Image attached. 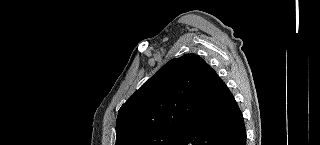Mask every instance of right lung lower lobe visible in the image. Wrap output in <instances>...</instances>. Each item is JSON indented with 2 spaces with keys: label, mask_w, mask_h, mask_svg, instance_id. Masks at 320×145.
<instances>
[{
  "label": "right lung lower lobe",
  "mask_w": 320,
  "mask_h": 145,
  "mask_svg": "<svg viewBox=\"0 0 320 145\" xmlns=\"http://www.w3.org/2000/svg\"><path fill=\"white\" fill-rule=\"evenodd\" d=\"M221 100L209 117L188 125L170 145H246L242 113L228 87H220Z\"/></svg>",
  "instance_id": "98d812e1"
}]
</instances>
